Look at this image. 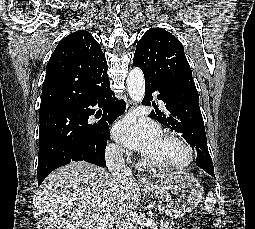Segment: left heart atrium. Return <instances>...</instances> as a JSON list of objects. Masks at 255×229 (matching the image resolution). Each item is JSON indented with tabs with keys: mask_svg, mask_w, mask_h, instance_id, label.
Wrapping results in <instances>:
<instances>
[{
	"mask_svg": "<svg viewBox=\"0 0 255 229\" xmlns=\"http://www.w3.org/2000/svg\"><path fill=\"white\" fill-rule=\"evenodd\" d=\"M112 135L120 144L150 154L162 138L160 128L143 118L128 116L114 124Z\"/></svg>",
	"mask_w": 255,
	"mask_h": 229,
	"instance_id": "obj_1",
	"label": "left heart atrium"
}]
</instances>
